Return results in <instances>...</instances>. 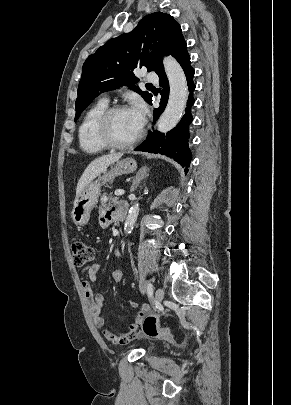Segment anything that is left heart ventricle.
<instances>
[{
	"label": "left heart ventricle",
	"instance_id": "b2bd125f",
	"mask_svg": "<svg viewBox=\"0 0 291 405\" xmlns=\"http://www.w3.org/2000/svg\"><path fill=\"white\" fill-rule=\"evenodd\" d=\"M140 129L137 127L130 109L123 110L114 115L111 122V132L113 138L118 142H128L132 140Z\"/></svg>",
	"mask_w": 291,
	"mask_h": 405
}]
</instances>
